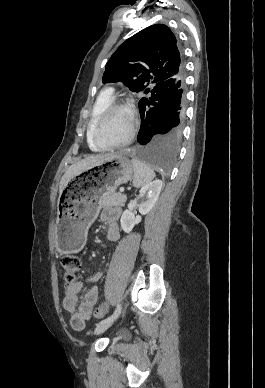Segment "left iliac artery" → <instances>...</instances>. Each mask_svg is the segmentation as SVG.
<instances>
[{"label": "left iliac artery", "mask_w": 265, "mask_h": 388, "mask_svg": "<svg viewBox=\"0 0 265 388\" xmlns=\"http://www.w3.org/2000/svg\"><path fill=\"white\" fill-rule=\"evenodd\" d=\"M120 312H121V305L118 304L114 313L111 316H109L108 318L100 321L99 324L114 320L115 318H117L119 316Z\"/></svg>", "instance_id": "left-iliac-artery-1"}]
</instances>
